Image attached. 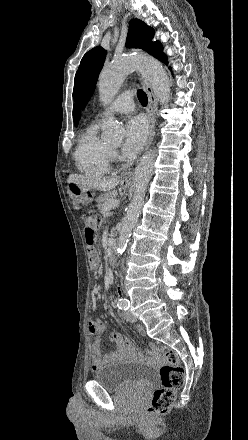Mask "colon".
Masks as SVG:
<instances>
[{"mask_svg": "<svg viewBox=\"0 0 248 440\" xmlns=\"http://www.w3.org/2000/svg\"><path fill=\"white\" fill-rule=\"evenodd\" d=\"M97 219L90 215L85 218V238L90 246L96 240L95 224ZM90 263L93 267L98 264L97 254L90 250ZM153 348L164 357V363L160 367L161 386L153 392L152 401L146 409L148 416L157 417L166 414L174 403L176 393L184 382V369L179 361L177 353L163 345L154 344Z\"/></svg>", "mask_w": 248, "mask_h": 440, "instance_id": "1", "label": "colon"}]
</instances>
